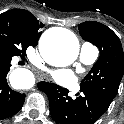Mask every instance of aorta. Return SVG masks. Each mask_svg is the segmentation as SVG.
<instances>
[{
  "label": "aorta",
  "instance_id": "aorta-1",
  "mask_svg": "<svg viewBox=\"0 0 124 124\" xmlns=\"http://www.w3.org/2000/svg\"><path fill=\"white\" fill-rule=\"evenodd\" d=\"M39 50L47 63L53 66H67L73 63L79 53L77 37L66 29H49L45 31L39 41ZM25 69H17L11 74V82L25 87ZM16 78L20 80L17 82Z\"/></svg>",
  "mask_w": 124,
  "mask_h": 124
}]
</instances>
